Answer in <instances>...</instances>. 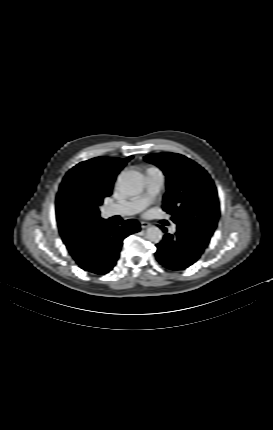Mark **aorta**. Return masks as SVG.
Masks as SVG:
<instances>
[{
	"mask_svg": "<svg viewBox=\"0 0 273 430\" xmlns=\"http://www.w3.org/2000/svg\"><path fill=\"white\" fill-rule=\"evenodd\" d=\"M119 188L129 196L140 194L144 188V176L142 173L130 170L122 172L118 177ZM163 233L157 226H151L146 230V238L152 243H159Z\"/></svg>",
	"mask_w": 273,
	"mask_h": 430,
	"instance_id": "aorta-1",
	"label": "aorta"
}]
</instances>
